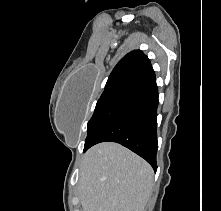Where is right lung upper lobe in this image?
Here are the masks:
<instances>
[{"label": "right lung upper lobe", "mask_w": 221, "mask_h": 211, "mask_svg": "<svg viewBox=\"0 0 221 211\" xmlns=\"http://www.w3.org/2000/svg\"><path fill=\"white\" fill-rule=\"evenodd\" d=\"M156 82L150 60L140 50L125 55L111 72L103 93L118 90L139 89Z\"/></svg>", "instance_id": "1"}]
</instances>
